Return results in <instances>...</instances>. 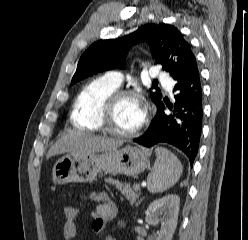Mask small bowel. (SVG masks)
<instances>
[{"label":"small bowel","mask_w":248,"mask_h":240,"mask_svg":"<svg viewBox=\"0 0 248 240\" xmlns=\"http://www.w3.org/2000/svg\"><path fill=\"white\" fill-rule=\"evenodd\" d=\"M89 198L93 201L98 202V206L92 213L93 222L92 229L95 233L101 234L102 230L109 220L113 219L117 213V205L113 199L105 192H94L91 193ZM120 228H125V221H119ZM78 232V225L76 218L71 220H65L63 225L62 235L65 240H73ZM105 240H112L106 238Z\"/></svg>","instance_id":"1"}]
</instances>
